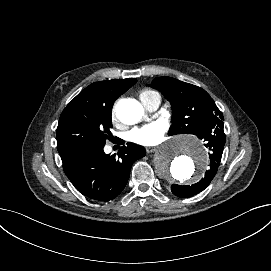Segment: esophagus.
Wrapping results in <instances>:
<instances>
[{
    "label": "esophagus",
    "mask_w": 271,
    "mask_h": 271,
    "mask_svg": "<svg viewBox=\"0 0 271 271\" xmlns=\"http://www.w3.org/2000/svg\"><path fill=\"white\" fill-rule=\"evenodd\" d=\"M147 153H152L157 150L156 146H148L145 148Z\"/></svg>",
    "instance_id": "esophagus-1"
}]
</instances>
